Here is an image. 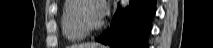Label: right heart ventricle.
<instances>
[{"mask_svg":"<svg viewBox=\"0 0 213 48\" xmlns=\"http://www.w3.org/2000/svg\"><path fill=\"white\" fill-rule=\"evenodd\" d=\"M79 0H66L61 12V29L64 37L70 42L83 40L85 33L75 19V8Z\"/></svg>","mask_w":213,"mask_h":48,"instance_id":"e07e8e85","label":"right heart ventricle"}]
</instances>
